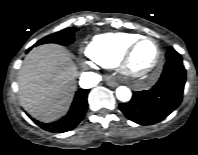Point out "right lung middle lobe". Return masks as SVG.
Returning <instances> with one entry per match:
<instances>
[{
    "instance_id": "right-lung-middle-lobe-1",
    "label": "right lung middle lobe",
    "mask_w": 198,
    "mask_h": 155,
    "mask_svg": "<svg viewBox=\"0 0 198 155\" xmlns=\"http://www.w3.org/2000/svg\"><path fill=\"white\" fill-rule=\"evenodd\" d=\"M77 28L71 27L66 28L62 31L56 32L54 34L48 35L41 40H39L34 46L44 44V43H57L61 45H68L74 42V33Z\"/></svg>"
}]
</instances>
